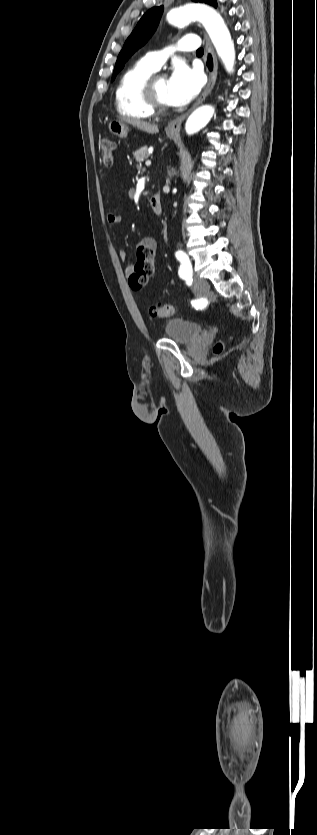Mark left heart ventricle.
<instances>
[{
    "instance_id": "b2bd125f",
    "label": "left heart ventricle",
    "mask_w": 317,
    "mask_h": 835,
    "mask_svg": "<svg viewBox=\"0 0 317 835\" xmlns=\"http://www.w3.org/2000/svg\"><path fill=\"white\" fill-rule=\"evenodd\" d=\"M167 84H168V80H167L166 78H164V77H159V78L156 80V83H155V89H156V93H157V95H158L159 99H160L163 103H165V104H168V105H169V102H168Z\"/></svg>"
}]
</instances>
